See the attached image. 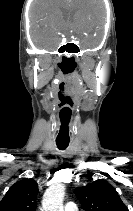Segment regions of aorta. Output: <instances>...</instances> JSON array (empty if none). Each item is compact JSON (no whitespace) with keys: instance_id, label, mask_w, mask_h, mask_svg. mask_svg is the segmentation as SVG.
Here are the masks:
<instances>
[{"instance_id":"aorta-1","label":"aorta","mask_w":133,"mask_h":211,"mask_svg":"<svg viewBox=\"0 0 133 211\" xmlns=\"http://www.w3.org/2000/svg\"><path fill=\"white\" fill-rule=\"evenodd\" d=\"M65 189L63 183L51 185L43 196L42 211H63Z\"/></svg>"}]
</instances>
